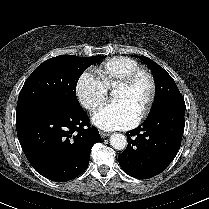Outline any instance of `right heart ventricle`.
Masks as SVG:
<instances>
[{
    "label": "right heart ventricle",
    "instance_id": "1",
    "mask_svg": "<svg viewBox=\"0 0 209 209\" xmlns=\"http://www.w3.org/2000/svg\"><path fill=\"white\" fill-rule=\"evenodd\" d=\"M139 64L132 58L119 56L103 62L96 68V73L107 89H114L116 86Z\"/></svg>",
    "mask_w": 209,
    "mask_h": 209
}]
</instances>
